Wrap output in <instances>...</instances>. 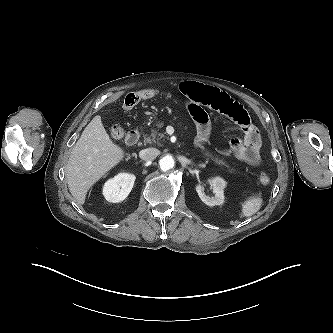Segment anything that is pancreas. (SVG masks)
<instances>
[{
    "label": "pancreas",
    "instance_id": "obj_1",
    "mask_svg": "<svg viewBox=\"0 0 333 333\" xmlns=\"http://www.w3.org/2000/svg\"><path fill=\"white\" fill-rule=\"evenodd\" d=\"M163 127V123L160 122L157 124V128L158 130L161 129ZM158 130L152 128L151 129V134L150 135H147L145 134L144 135V140L143 142L146 144V143H149V144H154V143H159V140L164 137V134L163 133H158ZM206 155L208 157H210L214 162H216L217 164L219 165H225L224 161L219 159L218 157H214L212 154L210 153H206Z\"/></svg>",
    "mask_w": 333,
    "mask_h": 333
}]
</instances>
